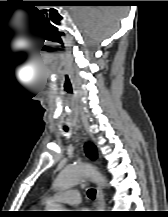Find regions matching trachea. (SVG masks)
I'll return each mask as SVG.
<instances>
[{
    "instance_id": "obj_1",
    "label": "trachea",
    "mask_w": 168,
    "mask_h": 217,
    "mask_svg": "<svg viewBox=\"0 0 168 217\" xmlns=\"http://www.w3.org/2000/svg\"><path fill=\"white\" fill-rule=\"evenodd\" d=\"M64 130L67 132L68 128H64ZM87 195L90 199L94 200L95 199V195H96V190L95 189H89L87 191Z\"/></svg>"
}]
</instances>
